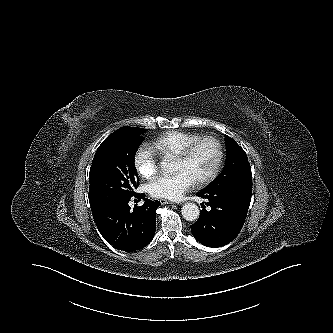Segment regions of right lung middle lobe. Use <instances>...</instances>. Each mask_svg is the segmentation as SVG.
Here are the masks:
<instances>
[{
    "label": "right lung middle lobe",
    "instance_id": "right-lung-middle-lobe-1",
    "mask_svg": "<svg viewBox=\"0 0 333 333\" xmlns=\"http://www.w3.org/2000/svg\"><path fill=\"white\" fill-rule=\"evenodd\" d=\"M145 131L147 129L122 127L101 143L89 172L91 208L135 193L138 177L134 157Z\"/></svg>",
    "mask_w": 333,
    "mask_h": 333
}]
</instances>
